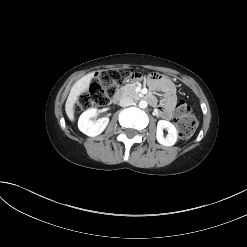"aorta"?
<instances>
[{
	"label": "aorta",
	"instance_id": "1",
	"mask_svg": "<svg viewBox=\"0 0 247 247\" xmlns=\"http://www.w3.org/2000/svg\"><path fill=\"white\" fill-rule=\"evenodd\" d=\"M147 106H148V104H147V102L145 100H141L139 102V107L140 108L145 109V108H147Z\"/></svg>",
	"mask_w": 247,
	"mask_h": 247
}]
</instances>
